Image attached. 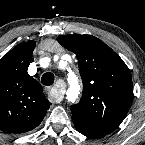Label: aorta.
Instances as JSON below:
<instances>
[{"label":"aorta","mask_w":145,"mask_h":145,"mask_svg":"<svg viewBox=\"0 0 145 145\" xmlns=\"http://www.w3.org/2000/svg\"><path fill=\"white\" fill-rule=\"evenodd\" d=\"M79 94V84L77 77L75 75H71L69 77V89L67 91V99L70 101H75Z\"/></svg>","instance_id":"1"}]
</instances>
